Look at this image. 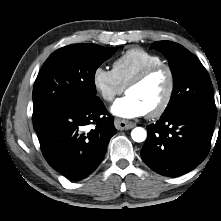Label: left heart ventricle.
<instances>
[{
	"label": "left heart ventricle",
	"instance_id": "b2bd125f",
	"mask_svg": "<svg viewBox=\"0 0 221 221\" xmlns=\"http://www.w3.org/2000/svg\"><path fill=\"white\" fill-rule=\"evenodd\" d=\"M168 86V76L166 71L160 70L151 75L140 85L134 86L127 91L139 99L147 111L154 109L162 101Z\"/></svg>",
	"mask_w": 221,
	"mask_h": 221
}]
</instances>
